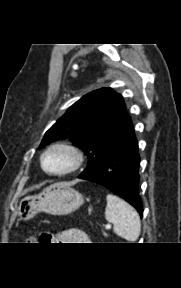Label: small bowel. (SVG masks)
Returning <instances> with one entry per match:
<instances>
[{"instance_id":"small-bowel-1","label":"small bowel","mask_w":181,"mask_h":288,"mask_svg":"<svg viewBox=\"0 0 181 288\" xmlns=\"http://www.w3.org/2000/svg\"><path fill=\"white\" fill-rule=\"evenodd\" d=\"M47 236L46 242L54 243H88L90 238L89 236L80 229H68L56 236H52L50 234H45Z\"/></svg>"}]
</instances>
